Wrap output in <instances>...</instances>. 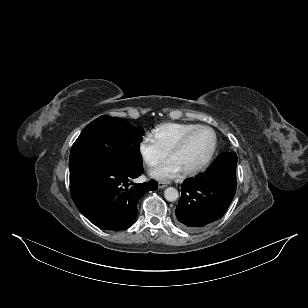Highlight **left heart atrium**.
Returning a JSON list of instances; mask_svg holds the SVG:
<instances>
[{
  "label": "left heart atrium",
  "instance_id": "obj_1",
  "mask_svg": "<svg viewBox=\"0 0 308 308\" xmlns=\"http://www.w3.org/2000/svg\"><path fill=\"white\" fill-rule=\"evenodd\" d=\"M181 172H183L181 165L171 157L151 170V175L159 180H168L177 177Z\"/></svg>",
  "mask_w": 308,
  "mask_h": 308
}]
</instances>
